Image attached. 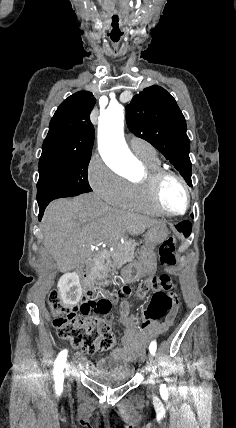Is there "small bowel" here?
<instances>
[{
    "label": "small bowel",
    "mask_w": 236,
    "mask_h": 428,
    "mask_svg": "<svg viewBox=\"0 0 236 428\" xmlns=\"http://www.w3.org/2000/svg\"><path fill=\"white\" fill-rule=\"evenodd\" d=\"M168 322L162 326L140 325L136 318L129 315V309L125 305L120 313V324L123 328L121 346L113 350L112 358L115 360L136 362L143 358L151 338L159 331H163ZM76 360L79 365L86 370H93L94 366L86 358L85 353L79 351L76 353ZM105 360L100 361L104 365Z\"/></svg>",
    "instance_id": "1"
}]
</instances>
